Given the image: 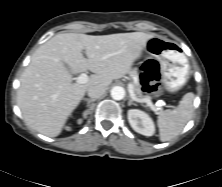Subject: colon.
Masks as SVG:
<instances>
[{
  "label": "colon",
  "mask_w": 222,
  "mask_h": 187,
  "mask_svg": "<svg viewBox=\"0 0 222 187\" xmlns=\"http://www.w3.org/2000/svg\"><path fill=\"white\" fill-rule=\"evenodd\" d=\"M159 80V68L153 60H148L144 64L142 74L143 89L153 95H157L160 92Z\"/></svg>",
  "instance_id": "1"
}]
</instances>
